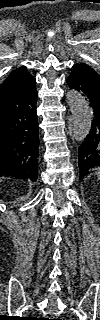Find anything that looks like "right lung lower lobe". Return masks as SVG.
<instances>
[{
    "mask_svg": "<svg viewBox=\"0 0 100 320\" xmlns=\"http://www.w3.org/2000/svg\"><path fill=\"white\" fill-rule=\"evenodd\" d=\"M37 96L34 86L22 97L0 101V176L37 179Z\"/></svg>",
    "mask_w": 100,
    "mask_h": 320,
    "instance_id": "1",
    "label": "right lung lower lobe"
}]
</instances>
